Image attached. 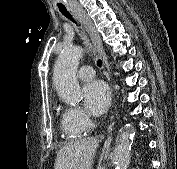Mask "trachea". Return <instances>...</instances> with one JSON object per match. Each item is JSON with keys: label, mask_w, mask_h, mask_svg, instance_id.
<instances>
[{"label": "trachea", "mask_w": 177, "mask_h": 169, "mask_svg": "<svg viewBox=\"0 0 177 169\" xmlns=\"http://www.w3.org/2000/svg\"><path fill=\"white\" fill-rule=\"evenodd\" d=\"M59 10H60V12H61L64 16H66V17L69 18L71 21H73L74 23H76L75 20H74V19L72 18V16L70 15V13L67 11L66 7H59ZM97 65H98V67H101V66H102V61H101L100 59H98Z\"/></svg>", "instance_id": "trachea-1"}]
</instances>
